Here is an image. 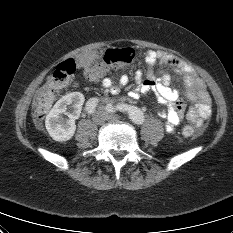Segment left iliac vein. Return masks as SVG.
Here are the masks:
<instances>
[{"mask_svg":"<svg viewBox=\"0 0 233 233\" xmlns=\"http://www.w3.org/2000/svg\"><path fill=\"white\" fill-rule=\"evenodd\" d=\"M100 111H102V112H104V113L106 114V117H107L108 120L116 121V120H119V119H120L119 116H117V115H115V114H110V113L108 112L107 108L101 107V108H100Z\"/></svg>","mask_w":233,"mask_h":233,"instance_id":"4c4485c4","label":"left iliac vein"}]
</instances>
